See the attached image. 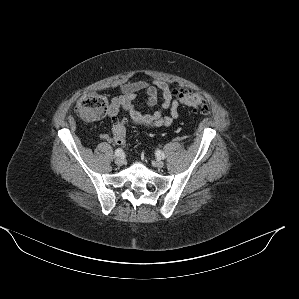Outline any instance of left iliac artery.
<instances>
[{"mask_svg":"<svg viewBox=\"0 0 299 299\" xmlns=\"http://www.w3.org/2000/svg\"><path fill=\"white\" fill-rule=\"evenodd\" d=\"M156 156H157L159 159H165V158H166L165 154H164L162 151H160V150H157V151H156Z\"/></svg>","mask_w":299,"mask_h":299,"instance_id":"44dca946","label":"left iliac artery"}]
</instances>
